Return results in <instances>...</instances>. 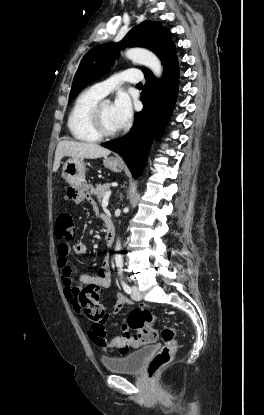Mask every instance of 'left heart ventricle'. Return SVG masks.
<instances>
[{"mask_svg":"<svg viewBox=\"0 0 264 415\" xmlns=\"http://www.w3.org/2000/svg\"><path fill=\"white\" fill-rule=\"evenodd\" d=\"M101 117L104 129L107 132H115L119 130L118 126L116 125V122L114 120L113 114H112V106L107 103H103L101 106Z\"/></svg>","mask_w":264,"mask_h":415,"instance_id":"obj_1","label":"left heart ventricle"}]
</instances>
